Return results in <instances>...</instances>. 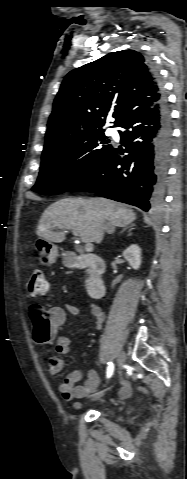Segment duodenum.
Returning <instances> with one entry per match:
<instances>
[{
    "instance_id": "duodenum-1",
    "label": "duodenum",
    "mask_w": 187,
    "mask_h": 479,
    "mask_svg": "<svg viewBox=\"0 0 187 479\" xmlns=\"http://www.w3.org/2000/svg\"><path fill=\"white\" fill-rule=\"evenodd\" d=\"M69 266L74 268H86L88 273L86 290L91 298H100L105 291L102 274L104 262L94 254H83L80 256L67 255L65 258Z\"/></svg>"
}]
</instances>
